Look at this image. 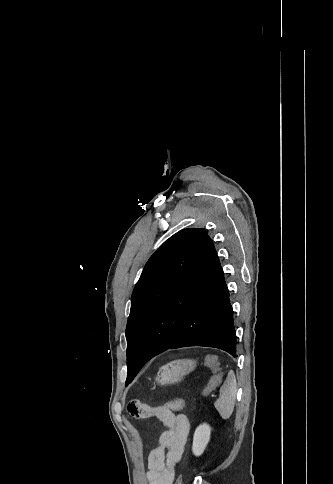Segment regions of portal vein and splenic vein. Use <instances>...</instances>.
Masks as SVG:
<instances>
[{"label":"portal vein and splenic vein","mask_w":333,"mask_h":484,"mask_svg":"<svg viewBox=\"0 0 333 484\" xmlns=\"http://www.w3.org/2000/svg\"><path fill=\"white\" fill-rule=\"evenodd\" d=\"M213 398H215L216 396L215 395H212Z\"/></svg>","instance_id":"portal-vein-and-splenic-vein-1"}]
</instances>
